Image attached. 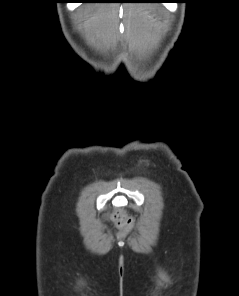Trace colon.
<instances>
[{"mask_svg":"<svg viewBox=\"0 0 239 296\" xmlns=\"http://www.w3.org/2000/svg\"><path fill=\"white\" fill-rule=\"evenodd\" d=\"M113 218L119 227H122V228H131L132 227L131 220L121 210H116L113 213Z\"/></svg>","mask_w":239,"mask_h":296,"instance_id":"obj_1","label":"colon"}]
</instances>
